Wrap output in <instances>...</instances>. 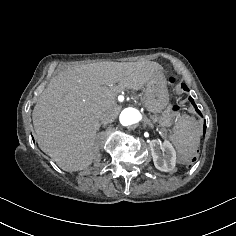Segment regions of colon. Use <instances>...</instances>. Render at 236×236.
<instances>
[{"instance_id": "1", "label": "colon", "mask_w": 236, "mask_h": 236, "mask_svg": "<svg viewBox=\"0 0 236 236\" xmlns=\"http://www.w3.org/2000/svg\"><path fill=\"white\" fill-rule=\"evenodd\" d=\"M174 83V78L170 77L169 78V84L172 85ZM181 111V106L180 105H175L172 110V114L174 116L178 115Z\"/></svg>"}]
</instances>
